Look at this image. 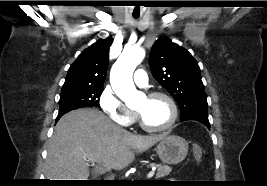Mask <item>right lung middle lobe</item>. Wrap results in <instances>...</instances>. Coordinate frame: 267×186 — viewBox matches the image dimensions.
<instances>
[{
    "label": "right lung middle lobe",
    "instance_id": "right-lung-middle-lobe-1",
    "mask_svg": "<svg viewBox=\"0 0 267 186\" xmlns=\"http://www.w3.org/2000/svg\"><path fill=\"white\" fill-rule=\"evenodd\" d=\"M103 87H63L59 100V113L82 107H98Z\"/></svg>",
    "mask_w": 267,
    "mask_h": 186
}]
</instances>
